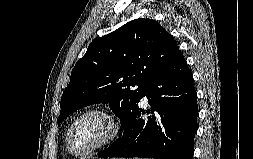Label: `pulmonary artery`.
I'll use <instances>...</instances> for the list:
<instances>
[{
    "mask_svg": "<svg viewBox=\"0 0 253 159\" xmlns=\"http://www.w3.org/2000/svg\"><path fill=\"white\" fill-rule=\"evenodd\" d=\"M146 101H147V98L144 97V98L142 99V103H146Z\"/></svg>",
    "mask_w": 253,
    "mask_h": 159,
    "instance_id": "pulmonary-artery-1",
    "label": "pulmonary artery"
}]
</instances>
